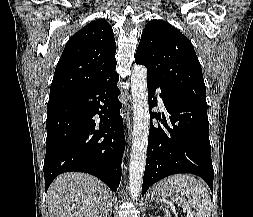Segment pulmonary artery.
<instances>
[{"instance_id":"pulmonary-artery-1","label":"pulmonary artery","mask_w":253,"mask_h":217,"mask_svg":"<svg viewBox=\"0 0 253 217\" xmlns=\"http://www.w3.org/2000/svg\"><path fill=\"white\" fill-rule=\"evenodd\" d=\"M156 93H157V96H158L159 105H160L162 108H164L163 100H162V98H161V90L158 88V89L156 90Z\"/></svg>"}]
</instances>
